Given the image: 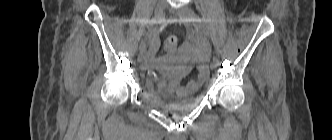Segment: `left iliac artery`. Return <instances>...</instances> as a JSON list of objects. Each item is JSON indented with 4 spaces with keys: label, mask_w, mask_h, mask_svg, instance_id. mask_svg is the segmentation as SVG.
<instances>
[{
    "label": "left iliac artery",
    "mask_w": 332,
    "mask_h": 140,
    "mask_svg": "<svg viewBox=\"0 0 332 140\" xmlns=\"http://www.w3.org/2000/svg\"><path fill=\"white\" fill-rule=\"evenodd\" d=\"M192 21L194 22V26H195L198 33H200V34L203 33V34L207 35V32L204 28L203 20L197 14L194 13ZM213 61L216 62L217 65H218L219 59H218L217 56H215V55L213 56Z\"/></svg>",
    "instance_id": "1"
}]
</instances>
